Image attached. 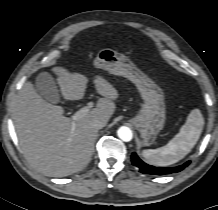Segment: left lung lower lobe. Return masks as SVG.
<instances>
[{"mask_svg":"<svg viewBox=\"0 0 218 210\" xmlns=\"http://www.w3.org/2000/svg\"><path fill=\"white\" fill-rule=\"evenodd\" d=\"M131 161L134 166L139 168L140 172L144 174H151V175H165V174H171L175 172H179L183 170L185 167H187L190 164V161L186 162L183 165L177 166V167H154L151 165H148L144 163L137 155L136 153H132L131 155Z\"/></svg>","mask_w":218,"mask_h":210,"instance_id":"obj_1","label":"left lung lower lobe"}]
</instances>
